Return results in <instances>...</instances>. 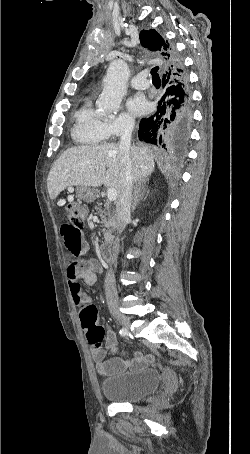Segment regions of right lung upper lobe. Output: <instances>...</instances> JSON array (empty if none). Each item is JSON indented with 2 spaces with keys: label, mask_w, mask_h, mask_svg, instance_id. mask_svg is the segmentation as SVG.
<instances>
[{
  "label": "right lung upper lobe",
  "mask_w": 250,
  "mask_h": 454,
  "mask_svg": "<svg viewBox=\"0 0 250 454\" xmlns=\"http://www.w3.org/2000/svg\"><path fill=\"white\" fill-rule=\"evenodd\" d=\"M140 42L141 45L148 50L152 51L155 55V58L161 61V71L163 73L171 71V62L170 55L168 53L170 44L165 40L157 31L151 30H142L140 32Z\"/></svg>",
  "instance_id": "1"
}]
</instances>
